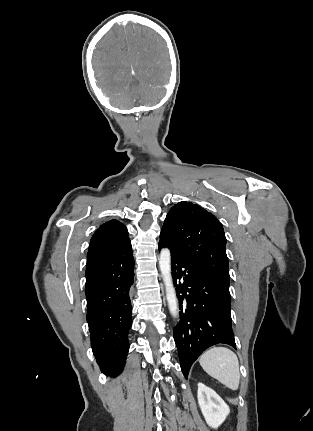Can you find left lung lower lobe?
I'll return each instance as SVG.
<instances>
[{
	"instance_id": "left-lung-lower-lobe-1",
	"label": "left lung lower lobe",
	"mask_w": 313,
	"mask_h": 431,
	"mask_svg": "<svg viewBox=\"0 0 313 431\" xmlns=\"http://www.w3.org/2000/svg\"><path fill=\"white\" fill-rule=\"evenodd\" d=\"M167 247L159 241V250ZM172 278L179 300L180 322L174 329L180 366L187 378L191 365L208 347L235 348L229 284L193 267L171 252Z\"/></svg>"
}]
</instances>
